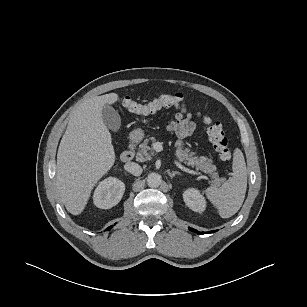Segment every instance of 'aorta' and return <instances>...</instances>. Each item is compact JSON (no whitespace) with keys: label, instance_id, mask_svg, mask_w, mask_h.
<instances>
[{"label":"aorta","instance_id":"1","mask_svg":"<svg viewBox=\"0 0 307 307\" xmlns=\"http://www.w3.org/2000/svg\"><path fill=\"white\" fill-rule=\"evenodd\" d=\"M161 176L155 172L147 176V185L152 188L159 187L161 184Z\"/></svg>","mask_w":307,"mask_h":307}]
</instances>
